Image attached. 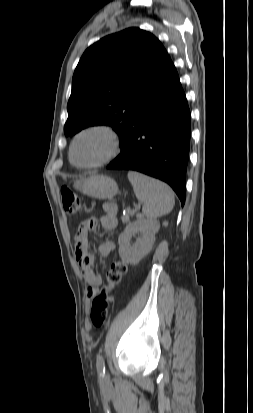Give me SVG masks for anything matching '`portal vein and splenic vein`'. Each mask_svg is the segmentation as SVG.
<instances>
[{"mask_svg":"<svg viewBox=\"0 0 253 413\" xmlns=\"http://www.w3.org/2000/svg\"><path fill=\"white\" fill-rule=\"evenodd\" d=\"M135 213V211L134 210H132V214H134Z\"/></svg>","mask_w":253,"mask_h":413,"instance_id":"obj_1","label":"portal vein and splenic vein"}]
</instances>
